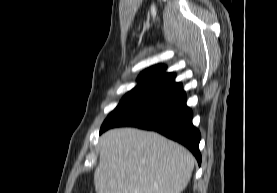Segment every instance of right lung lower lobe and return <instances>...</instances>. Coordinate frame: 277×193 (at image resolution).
<instances>
[{
	"mask_svg": "<svg viewBox=\"0 0 277 193\" xmlns=\"http://www.w3.org/2000/svg\"><path fill=\"white\" fill-rule=\"evenodd\" d=\"M119 126L153 130L186 146L201 164L200 132L192 124L181 83L145 95L102 124L100 133Z\"/></svg>",
	"mask_w": 277,
	"mask_h": 193,
	"instance_id": "98d812e1",
	"label": "right lung lower lobe"
}]
</instances>
